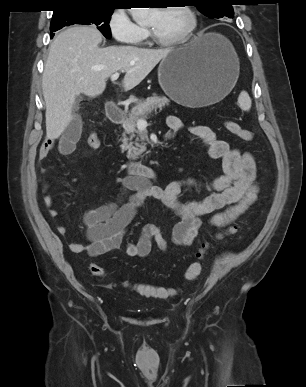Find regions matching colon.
<instances>
[{"instance_id": "5ec220e1", "label": "colon", "mask_w": 306, "mask_h": 387, "mask_svg": "<svg viewBox=\"0 0 306 387\" xmlns=\"http://www.w3.org/2000/svg\"><path fill=\"white\" fill-rule=\"evenodd\" d=\"M224 128L232 135L236 136L237 138L244 140V141H250L252 140V133L244 129L242 126H240L237 122L227 120L223 123ZM87 144L89 147L97 149L101 145L100 137L96 133H91L87 138ZM237 231V226L232 225L229 226L223 233L218 234V238H221L223 235L233 234ZM207 249V244H202L197 252H196V260L193 261L185 272V279L186 281H193L195 280L202 272V263L201 260L205 254V251ZM91 273L94 276L97 277H103L105 275V270L101 266L98 265H92L91 266ZM131 288L137 292L139 295L144 297H151V298H159V299H165L171 297L175 291L172 288L168 287H162V286H155L150 285L146 283H136L131 286Z\"/></svg>"}]
</instances>
